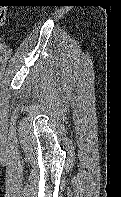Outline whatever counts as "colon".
<instances>
[{"label":"colon","mask_w":121,"mask_h":197,"mask_svg":"<svg viewBox=\"0 0 121 197\" xmlns=\"http://www.w3.org/2000/svg\"><path fill=\"white\" fill-rule=\"evenodd\" d=\"M0 2H2V0ZM5 21H6V6L0 4V27H2L5 24Z\"/></svg>","instance_id":"colon-1"}]
</instances>
